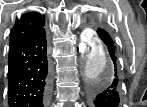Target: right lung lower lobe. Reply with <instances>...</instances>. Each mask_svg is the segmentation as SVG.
Returning a JSON list of instances; mask_svg holds the SVG:
<instances>
[{"mask_svg": "<svg viewBox=\"0 0 147 107\" xmlns=\"http://www.w3.org/2000/svg\"><path fill=\"white\" fill-rule=\"evenodd\" d=\"M8 66L9 107H46L49 69L44 28L9 47Z\"/></svg>", "mask_w": 147, "mask_h": 107, "instance_id": "98d812e1", "label": "right lung lower lobe"}]
</instances>
